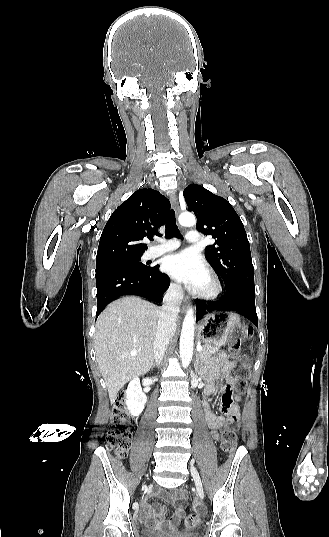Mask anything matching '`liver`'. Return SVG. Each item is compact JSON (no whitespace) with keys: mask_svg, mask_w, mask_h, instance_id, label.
Returning a JSON list of instances; mask_svg holds the SVG:
<instances>
[{"mask_svg":"<svg viewBox=\"0 0 329 537\" xmlns=\"http://www.w3.org/2000/svg\"><path fill=\"white\" fill-rule=\"evenodd\" d=\"M159 313L153 304L128 296L114 301L99 315L94 347L112 403L130 379L152 367Z\"/></svg>","mask_w":329,"mask_h":537,"instance_id":"liver-1","label":"liver"}]
</instances>
